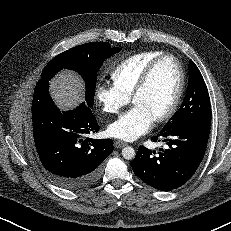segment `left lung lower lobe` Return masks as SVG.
Masks as SVG:
<instances>
[{
	"label": "left lung lower lobe",
	"instance_id": "0a47b994",
	"mask_svg": "<svg viewBox=\"0 0 231 231\" xmlns=\"http://www.w3.org/2000/svg\"><path fill=\"white\" fill-rule=\"evenodd\" d=\"M210 125L186 123L161 130L152 137L162 141L159 152L140 146L132 169L136 176L151 187L171 191L184 185L196 172L206 151Z\"/></svg>",
	"mask_w": 231,
	"mask_h": 231
}]
</instances>
